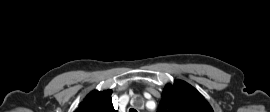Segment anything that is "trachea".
Masks as SVG:
<instances>
[{
    "label": "trachea",
    "mask_w": 270,
    "mask_h": 112,
    "mask_svg": "<svg viewBox=\"0 0 270 112\" xmlns=\"http://www.w3.org/2000/svg\"><path fill=\"white\" fill-rule=\"evenodd\" d=\"M129 112H137L135 109L131 108Z\"/></svg>",
    "instance_id": "trachea-1"
}]
</instances>
